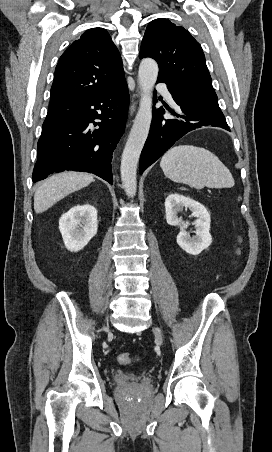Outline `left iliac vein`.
<instances>
[{"mask_svg":"<svg viewBox=\"0 0 272 452\" xmlns=\"http://www.w3.org/2000/svg\"><path fill=\"white\" fill-rule=\"evenodd\" d=\"M153 332H154V335H155L157 343L159 345H162L163 344V337H162V334H161L160 330L157 329V328H154Z\"/></svg>","mask_w":272,"mask_h":452,"instance_id":"1","label":"left iliac vein"}]
</instances>
